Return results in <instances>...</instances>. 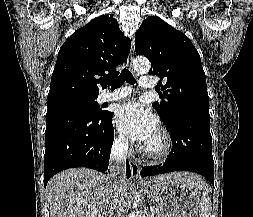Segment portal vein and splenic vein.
<instances>
[{
	"mask_svg": "<svg viewBox=\"0 0 253 217\" xmlns=\"http://www.w3.org/2000/svg\"><path fill=\"white\" fill-rule=\"evenodd\" d=\"M147 217H154L153 211H151V212L147 215Z\"/></svg>",
	"mask_w": 253,
	"mask_h": 217,
	"instance_id": "obj_1",
	"label": "portal vein and splenic vein"
}]
</instances>
